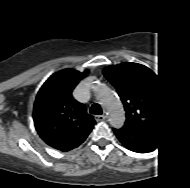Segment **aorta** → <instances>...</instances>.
Segmentation results:
<instances>
[{
    "instance_id": "1",
    "label": "aorta",
    "mask_w": 190,
    "mask_h": 188,
    "mask_svg": "<svg viewBox=\"0 0 190 188\" xmlns=\"http://www.w3.org/2000/svg\"><path fill=\"white\" fill-rule=\"evenodd\" d=\"M101 106L106 110L109 121L113 126H120L125 120L124 111L121 102L105 85H102L98 95Z\"/></svg>"
}]
</instances>
